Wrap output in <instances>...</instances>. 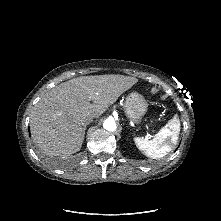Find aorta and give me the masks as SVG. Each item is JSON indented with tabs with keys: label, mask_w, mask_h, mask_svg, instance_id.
Returning <instances> with one entry per match:
<instances>
[{
	"label": "aorta",
	"mask_w": 221,
	"mask_h": 221,
	"mask_svg": "<svg viewBox=\"0 0 221 221\" xmlns=\"http://www.w3.org/2000/svg\"><path fill=\"white\" fill-rule=\"evenodd\" d=\"M103 127L108 131H115L117 126L113 118H108L104 121Z\"/></svg>",
	"instance_id": "obj_1"
}]
</instances>
